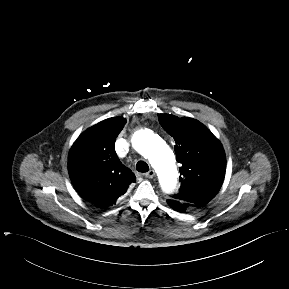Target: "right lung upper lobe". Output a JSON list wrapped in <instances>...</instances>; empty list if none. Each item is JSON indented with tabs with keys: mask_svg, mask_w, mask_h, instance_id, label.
I'll use <instances>...</instances> for the list:
<instances>
[{
	"mask_svg": "<svg viewBox=\"0 0 289 289\" xmlns=\"http://www.w3.org/2000/svg\"><path fill=\"white\" fill-rule=\"evenodd\" d=\"M125 123L119 117L99 122L83 132L69 152L68 170L74 187L83 198L101 208L112 206L136 180L114 148Z\"/></svg>",
	"mask_w": 289,
	"mask_h": 289,
	"instance_id": "right-lung-upper-lobe-1",
	"label": "right lung upper lobe"
}]
</instances>
